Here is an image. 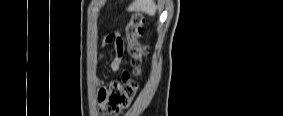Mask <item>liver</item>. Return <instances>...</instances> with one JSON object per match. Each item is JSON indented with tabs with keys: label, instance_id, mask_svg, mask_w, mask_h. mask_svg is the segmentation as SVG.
I'll return each mask as SVG.
<instances>
[{
	"label": "liver",
	"instance_id": "1",
	"mask_svg": "<svg viewBox=\"0 0 283 116\" xmlns=\"http://www.w3.org/2000/svg\"><path fill=\"white\" fill-rule=\"evenodd\" d=\"M128 11L132 12H143L148 15H155L157 5L154 0H134L127 8Z\"/></svg>",
	"mask_w": 283,
	"mask_h": 116
}]
</instances>
